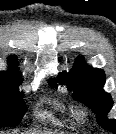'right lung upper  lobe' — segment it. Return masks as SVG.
Segmentation results:
<instances>
[{
  "instance_id": "obj_1",
  "label": "right lung upper lobe",
  "mask_w": 116,
  "mask_h": 134,
  "mask_svg": "<svg viewBox=\"0 0 116 134\" xmlns=\"http://www.w3.org/2000/svg\"><path fill=\"white\" fill-rule=\"evenodd\" d=\"M9 71H0V92L9 94H20L19 85L22 81L21 73L16 66L18 65L15 56L10 57Z\"/></svg>"
}]
</instances>
